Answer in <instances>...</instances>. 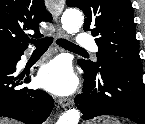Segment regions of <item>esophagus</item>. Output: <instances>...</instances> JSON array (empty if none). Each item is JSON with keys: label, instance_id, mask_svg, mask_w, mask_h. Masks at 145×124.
<instances>
[{"label": "esophagus", "instance_id": "obj_1", "mask_svg": "<svg viewBox=\"0 0 145 124\" xmlns=\"http://www.w3.org/2000/svg\"><path fill=\"white\" fill-rule=\"evenodd\" d=\"M64 4L62 1H54L50 6L51 12L53 14V19L57 26V38H67V34L61 29L59 25V16L63 11ZM59 104L65 108L72 104L71 98H63L59 100Z\"/></svg>", "mask_w": 145, "mask_h": 124}]
</instances>
